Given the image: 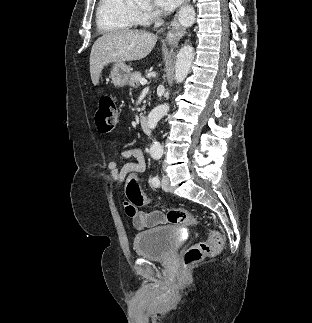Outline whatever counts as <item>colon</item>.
<instances>
[{
    "instance_id": "1",
    "label": "colon",
    "mask_w": 312,
    "mask_h": 323,
    "mask_svg": "<svg viewBox=\"0 0 312 323\" xmlns=\"http://www.w3.org/2000/svg\"><path fill=\"white\" fill-rule=\"evenodd\" d=\"M119 119V109L117 108L114 99L111 95H105L98 102L97 113L95 115V123L101 132L112 131ZM133 177H126V195L129 201L123 203L126 214L134 218L136 216L135 207L141 206L147 202V198L143 195L139 183ZM149 201V200H148ZM168 222L171 224H186L194 225L197 219L194 214L188 209L170 206L167 208ZM224 247V240L221 236L211 232L208 240L199 242L184 253V263L182 267L187 269L190 264L198 263L204 256H212L219 252Z\"/></svg>"
}]
</instances>
